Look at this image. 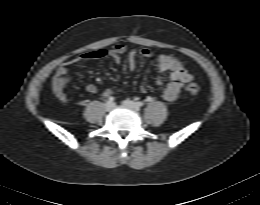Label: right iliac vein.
I'll use <instances>...</instances> for the list:
<instances>
[{"label": "right iliac vein", "mask_w": 260, "mask_h": 205, "mask_svg": "<svg viewBox=\"0 0 260 205\" xmlns=\"http://www.w3.org/2000/svg\"><path fill=\"white\" fill-rule=\"evenodd\" d=\"M104 108L106 111H111L113 108H114V103L112 102H107L105 105H104Z\"/></svg>", "instance_id": "63e3f726"}]
</instances>
